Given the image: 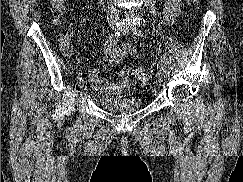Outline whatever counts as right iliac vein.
I'll return each mask as SVG.
<instances>
[{
    "instance_id": "obj_1",
    "label": "right iliac vein",
    "mask_w": 243,
    "mask_h": 182,
    "mask_svg": "<svg viewBox=\"0 0 243 182\" xmlns=\"http://www.w3.org/2000/svg\"><path fill=\"white\" fill-rule=\"evenodd\" d=\"M109 27H110L111 29H115L116 25H115L114 22H110V23H109ZM79 87L82 89L83 92L86 91L87 86H86V83H85L84 80H82V81L79 83Z\"/></svg>"
}]
</instances>
